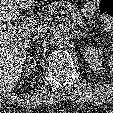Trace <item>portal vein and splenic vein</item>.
Listing matches in <instances>:
<instances>
[{
    "label": "portal vein and splenic vein",
    "mask_w": 113,
    "mask_h": 113,
    "mask_svg": "<svg viewBox=\"0 0 113 113\" xmlns=\"http://www.w3.org/2000/svg\"><path fill=\"white\" fill-rule=\"evenodd\" d=\"M65 14V12H63ZM36 23V19L34 17H29L28 21L21 22L19 28L28 30L30 26H33Z\"/></svg>",
    "instance_id": "1"
}]
</instances>
